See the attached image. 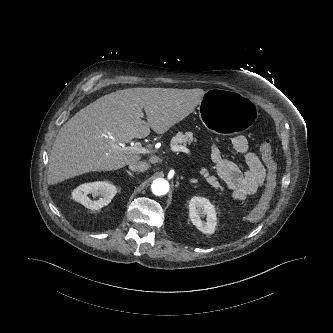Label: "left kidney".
I'll list each match as a JSON object with an SVG mask.
<instances>
[{"instance_id":"1","label":"left kidney","mask_w":333,"mask_h":333,"mask_svg":"<svg viewBox=\"0 0 333 333\" xmlns=\"http://www.w3.org/2000/svg\"><path fill=\"white\" fill-rule=\"evenodd\" d=\"M189 216L198 230L205 234L214 233L217 224L216 212L208 199L193 197L189 203ZM204 216H206L205 222L201 220V217Z\"/></svg>"}]
</instances>
